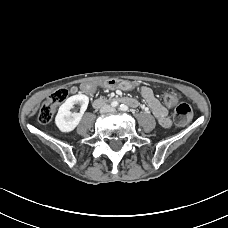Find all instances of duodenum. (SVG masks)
<instances>
[{
  "instance_id": "1",
  "label": "duodenum",
  "mask_w": 228,
  "mask_h": 228,
  "mask_svg": "<svg viewBox=\"0 0 228 228\" xmlns=\"http://www.w3.org/2000/svg\"><path fill=\"white\" fill-rule=\"evenodd\" d=\"M118 100L122 103V104H127V105H130V106H133L135 105V101L130 99V98H127V97H121V98H118ZM106 102V99L105 98H98L94 101V105L95 106H100L102 105L103 103Z\"/></svg>"
}]
</instances>
